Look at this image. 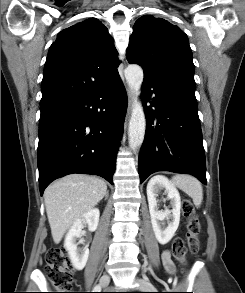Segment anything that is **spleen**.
Segmentation results:
<instances>
[{"label": "spleen", "mask_w": 245, "mask_h": 293, "mask_svg": "<svg viewBox=\"0 0 245 293\" xmlns=\"http://www.w3.org/2000/svg\"><path fill=\"white\" fill-rule=\"evenodd\" d=\"M172 184L189 195L195 206H200L203 200V188L201 183L190 175H176L172 178Z\"/></svg>", "instance_id": "spleen-1"}]
</instances>
